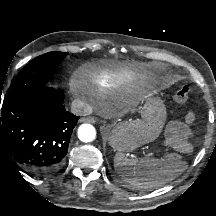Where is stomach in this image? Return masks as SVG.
I'll use <instances>...</instances> for the list:
<instances>
[{
  "label": "stomach",
  "mask_w": 216,
  "mask_h": 216,
  "mask_svg": "<svg viewBox=\"0 0 216 216\" xmlns=\"http://www.w3.org/2000/svg\"><path fill=\"white\" fill-rule=\"evenodd\" d=\"M141 120L116 124L108 134L109 144L118 151H133L155 140L166 120V108L158 97H147L141 107Z\"/></svg>",
  "instance_id": "obj_1"
}]
</instances>
